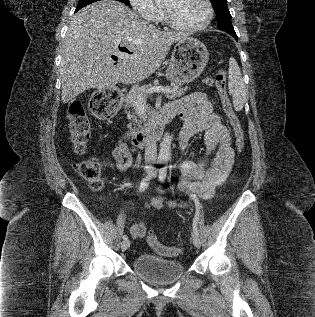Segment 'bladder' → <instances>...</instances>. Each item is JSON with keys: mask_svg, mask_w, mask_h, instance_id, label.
Here are the masks:
<instances>
[{"mask_svg": "<svg viewBox=\"0 0 315 317\" xmlns=\"http://www.w3.org/2000/svg\"><path fill=\"white\" fill-rule=\"evenodd\" d=\"M132 268L144 279L156 284L175 281L184 273V266L181 262L147 253L136 256L132 261Z\"/></svg>", "mask_w": 315, "mask_h": 317, "instance_id": "1", "label": "bladder"}]
</instances>
